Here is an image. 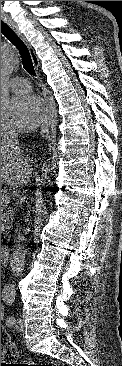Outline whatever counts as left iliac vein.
<instances>
[{"label":"left iliac vein","instance_id":"obj_1","mask_svg":"<svg viewBox=\"0 0 122 366\" xmlns=\"http://www.w3.org/2000/svg\"><path fill=\"white\" fill-rule=\"evenodd\" d=\"M15 327L18 331H23L24 326H23L22 319H20V318L17 319Z\"/></svg>","mask_w":122,"mask_h":366}]
</instances>
